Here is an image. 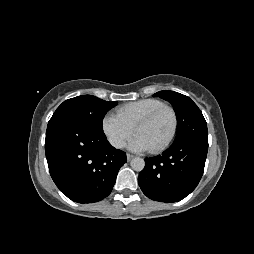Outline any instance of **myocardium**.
<instances>
[{
	"mask_svg": "<svg viewBox=\"0 0 254 254\" xmlns=\"http://www.w3.org/2000/svg\"><path fill=\"white\" fill-rule=\"evenodd\" d=\"M164 110H167L171 113V115L173 117V128H172L170 136L167 138V140L164 143H162L161 145H159L155 148L150 149V151L153 153H159V152L165 150L174 141V139L177 135L178 126H179V119H178V114H177L176 110L172 106L164 104V105L154 109L149 114H147L142 119H140L134 127V131H135V133H137V130L141 126H144V125L148 124L149 122H151L159 113H161Z\"/></svg>",
	"mask_w": 254,
	"mask_h": 254,
	"instance_id": "obj_1",
	"label": "myocardium"
}]
</instances>
